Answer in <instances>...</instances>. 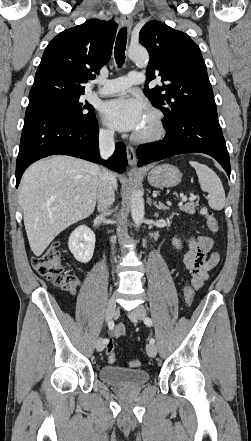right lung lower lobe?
<instances>
[{
    "label": "right lung lower lobe",
    "mask_w": 251,
    "mask_h": 441,
    "mask_svg": "<svg viewBox=\"0 0 251 441\" xmlns=\"http://www.w3.org/2000/svg\"><path fill=\"white\" fill-rule=\"evenodd\" d=\"M98 135L96 118L80 124L49 111L27 107L16 162V187L29 165L54 154L78 157L123 173L127 166L125 145L118 143L114 154L104 161L99 156Z\"/></svg>",
    "instance_id": "obj_1"
}]
</instances>
